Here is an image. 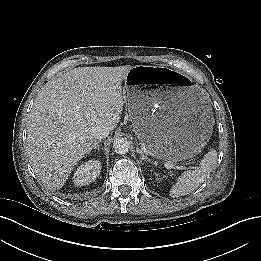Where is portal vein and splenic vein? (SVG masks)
<instances>
[{"mask_svg":"<svg viewBox=\"0 0 261 261\" xmlns=\"http://www.w3.org/2000/svg\"><path fill=\"white\" fill-rule=\"evenodd\" d=\"M166 166H167V168H177V169H180V170H184V169H186V167H184V166H175V165H173V164H170V163H166ZM188 169H194V167L193 166H189L188 167Z\"/></svg>","mask_w":261,"mask_h":261,"instance_id":"obj_1","label":"portal vein and splenic vein"}]
</instances>
